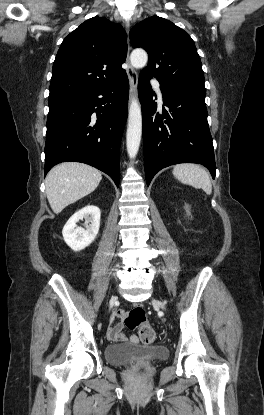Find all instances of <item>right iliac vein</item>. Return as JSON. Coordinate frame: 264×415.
I'll return each mask as SVG.
<instances>
[{
  "label": "right iliac vein",
  "instance_id": "1",
  "mask_svg": "<svg viewBox=\"0 0 264 415\" xmlns=\"http://www.w3.org/2000/svg\"><path fill=\"white\" fill-rule=\"evenodd\" d=\"M116 301H117V296H112L110 299V303H109V310H111V308L116 303Z\"/></svg>",
  "mask_w": 264,
  "mask_h": 415
}]
</instances>
